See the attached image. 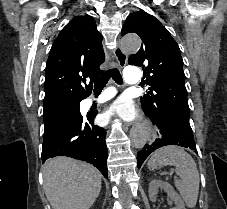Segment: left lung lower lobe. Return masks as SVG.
Returning <instances> with one entry per match:
<instances>
[{"label":"left lung lower lobe","mask_w":227,"mask_h":209,"mask_svg":"<svg viewBox=\"0 0 227 209\" xmlns=\"http://www.w3.org/2000/svg\"><path fill=\"white\" fill-rule=\"evenodd\" d=\"M145 114L155 122L162 134L161 139H156L152 145L146 144L143 150L139 151L137 154V165L138 168L141 167L145 159L154 150L167 146V145H177L185 148H190L196 151V145L194 142L193 132L189 121L182 120L174 115L165 113H151L149 111H144Z\"/></svg>","instance_id":"0a47b994"}]
</instances>
